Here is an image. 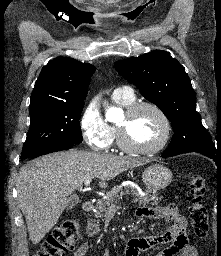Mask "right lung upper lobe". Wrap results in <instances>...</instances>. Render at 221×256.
Returning <instances> with one entry per match:
<instances>
[{
  "instance_id": "right-lung-upper-lobe-1",
  "label": "right lung upper lobe",
  "mask_w": 221,
  "mask_h": 256,
  "mask_svg": "<svg viewBox=\"0 0 221 256\" xmlns=\"http://www.w3.org/2000/svg\"><path fill=\"white\" fill-rule=\"evenodd\" d=\"M96 67L69 57L50 60L35 83L29 111L37 108L84 102Z\"/></svg>"
}]
</instances>
